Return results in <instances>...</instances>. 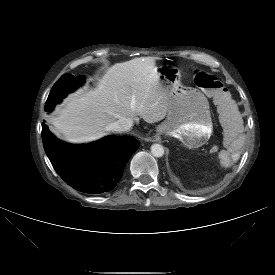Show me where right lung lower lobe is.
<instances>
[{
	"label": "right lung lower lobe",
	"mask_w": 275,
	"mask_h": 275,
	"mask_svg": "<svg viewBox=\"0 0 275 275\" xmlns=\"http://www.w3.org/2000/svg\"><path fill=\"white\" fill-rule=\"evenodd\" d=\"M42 140L57 174L74 189L89 194L112 190L140 145L133 137L109 136L92 144L72 146L58 141L45 123Z\"/></svg>",
	"instance_id": "right-lung-lower-lobe-1"
}]
</instances>
